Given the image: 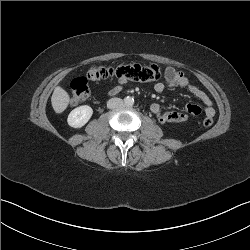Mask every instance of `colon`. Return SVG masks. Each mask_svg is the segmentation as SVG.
<instances>
[{"label":"colon","mask_w":250,"mask_h":250,"mask_svg":"<svg viewBox=\"0 0 250 250\" xmlns=\"http://www.w3.org/2000/svg\"><path fill=\"white\" fill-rule=\"evenodd\" d=\"M161 71L157 65L144 66L140 64H119L116 66H92L86 74V77H79L72 81L70 85V100L76 105L90 96L88 80H102L109 77H115L123 80L136 82H152L160 78ZM213 118L207 116L203 120L205 127L213 125Z\"/></svg>","instance_id":"colon-1"}]
</instances>
